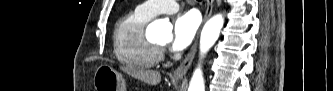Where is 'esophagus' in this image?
Instances as JSON below:
<instances>
[{"label":"esophagus","instance_id":"esophagus-1","mask_svg":"<svg viewBox=\"0 0 333 91\" xmlns=\"http://www.w3.org/2000/svg\"><path fill=\"white\" fill-rule=\"evenodd\" d=\"M213 0H206V12L203 18V23L204 24L209 17L212 14V10H213ZM197 45H198V38L195 40L194 44L192 45L189 53L187 54L186 58L184 59V61L175 69L174 71V77L176 78H181L183 76H185V74L187 73L188 69L191 66V63L195 57L196 54V50H197Z\"/></svg>","mask_w":333,"mask_h":91}]
</instances>
